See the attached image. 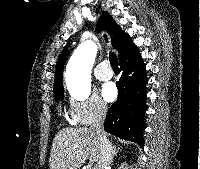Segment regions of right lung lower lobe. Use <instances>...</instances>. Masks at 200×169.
I'll return each mask as SVG.
<instances>
[{"label":"right lung lower lobe","mask_w":200,"mask_h":169,"mask_svg":"<svg viewBox=\"0 0 200 169\" xmlns=\"http://www.w3.org/2000/svg\"><path fill=\"white\" fill-rule=\"evenodd\" d=\"M146 66L137 52L120 61L118 98L110 107L104 128L108 133L143 146L146 111Z\"/></svg>","instance_id":"right-lung-lower-lobe-1"}]
</instances>
